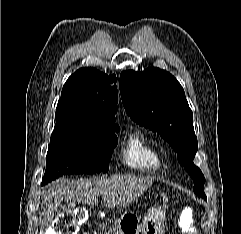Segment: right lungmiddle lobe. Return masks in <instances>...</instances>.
I'll return each mask as SVG.
<instances>
[{
  "label": "right lung middle lobe",
  "instance_id": "dd1d6c3e",
  "mask_svg": "<svg viewBox=\"0 0 241 234\" xmlns=\"http://www.w3.org/2000/svg\"><path fill=\"white\" fill-rule=\"evenodd\" d=\"M55 118L42 184L66 174L106 172L119 127L82 126L67 114H55Z\"/></svg>",
  "mask_w": 241,
  "mask_h": 234
}]
</instances>
